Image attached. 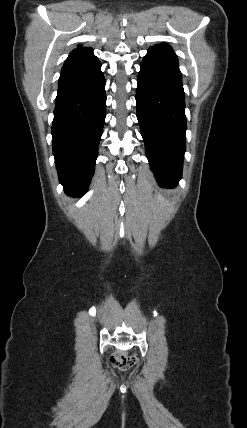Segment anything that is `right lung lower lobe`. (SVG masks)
<instances>
[{"label": "right lung lower lobe", "mask_w": 247, "mask_h": 428, "mask_svg": "<svg viewBox=\"0 0 247 428\" xmlns=\"http://www.w3.org/2000/svg\"><path fill=\"white\" fill-rule=\"evenodd\" d=\"M96 56L63 66L52 124L59 180L70 196L88 190L106 116L105 78Z\"/></svg>", "instance_id": "obj_1"}]
</instances>
